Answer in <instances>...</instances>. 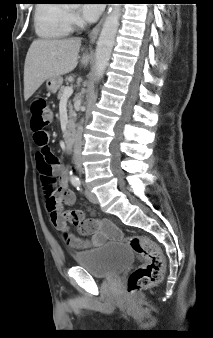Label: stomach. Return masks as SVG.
<instances>
[{
  "label": "stomach",
  "mask_w": 213,
  "mask_h": 338,
  "mask_svg": "<svg viewBox=\"0 0 213 338\" xmlns=\"http://www.w3.org/2000/svg\"><path fill=\"white\" fill-rule=\"evenodd\" d=\"M63 82V78L61 76L51 77L46 81V87L49 92L55 93Z\"/></svg>",
  "instance_id": "stomach-1"
}]
</instances>
